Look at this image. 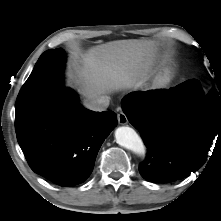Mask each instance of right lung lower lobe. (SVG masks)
<instances>
[{"label": "right lung lower lobe", "instance_id": "1", "mask_svg": "<svg viewBox=\"0 0 221 221\" xmlns=\"http://www.w3.org/2000/svg\"><path fill=\"white\" fill-rule=\"evenodd\" d=\"M49 81L50 77L31 74L20 92ZM45 100L31 120L15 127L18 143L35 173L63 187L80 184L90 176L98 150L117 125V115L84 108L62 83L54 85Z\"/></svg>", "mask_w": 221, "mask_h": 221}]
</instances>
